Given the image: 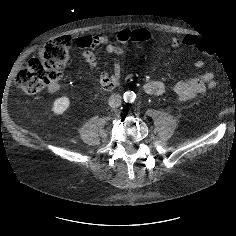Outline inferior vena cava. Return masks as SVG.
<instances>
[{"label":"inferior vena cava","instance_id":"602c4592","mask_svg":"<svg viewBox=\"0 0 236 236\" xmlns=\"http://www.w3.org/2000/svg\"><path fill=\"white\" fill-rule=\"evenodd\" d=\"M109 106L111 108H117L121 105V95L114 93L109 97Z\"/></svg>","mask_w":236,"mask_h":236}]
</instances>
